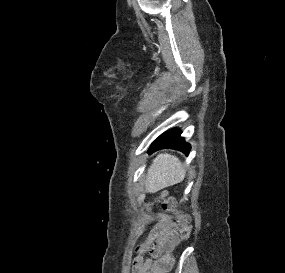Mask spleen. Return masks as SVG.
<instances>
[{
    "mask_svg": "<svg viewBox=\"0 0 285 273\" xmlns=\"http://www.w3.org/2000/svg\"><path fill=\"white\" fill-rule=\"evenodd\" d=\"M186 176V170L180 160L171 154H160L148 169L146 189L156 192L168 186L180 183Z\"/></svg>",
    "mask_w": 285,
    "mask_h": 273,
    "instance_id": "3e777b00",
    "label": "spleen"
}]
</instances>
